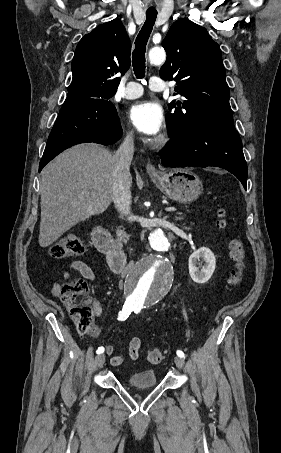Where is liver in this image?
<instances>
[{"label": "liver", "instance_id": "1", "mask_svg": "<svg viewBox=\"0 0 281 453\" xmlns=\"http://www.w3.org/2000/svg\"><path fill=\"white\" fill-rule=\"evenodd\" d=\"M115 166L110 150L95 142L75 144L44 166L40 247H49L81 220L108 208L114 200Z\"/></svg>", "mask_w": 281, "mask_h": 453}]
</instances>
